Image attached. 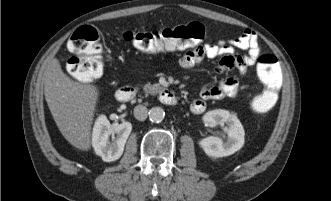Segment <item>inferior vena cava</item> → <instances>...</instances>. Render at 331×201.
<instances>
[{
    "label": "inferior vena cava",
    "instance_id": "1",
    "mask_svg": "<svg viewBox=\"0 0 331 201\" xmlns=\"http://www.w3.org/2000/svg\"><path fill=\"white\" fill-rule=\"evenodd\" d=\"M134 116L137 120L144 121L148 116V109L143 105L134 108Z\"/></svg>",
    "mask_w": 331,
    "mask_h": 201
}]
</instances>
